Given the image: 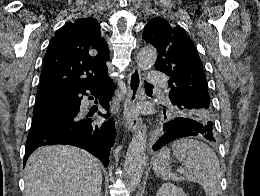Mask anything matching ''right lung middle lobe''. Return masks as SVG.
<instances>
[{"mask_svg": "<svg viewBox=\"0 0 260 196\" xmlns=\"http://www.w3.org/2000/svg\"><path fill=\"white\" fill-rule=\"evenodd\" d=\"M69 116L57 112H52L42 108H34L33 111V121L31 128L38 127L40 125L57 121L60 119L68 118Z\"/></svg>", "mask_w": 260, "mask_h": 196, "instance_id": "1", "label": "right lung middle lobe"}]
</instances>
